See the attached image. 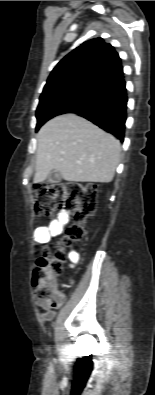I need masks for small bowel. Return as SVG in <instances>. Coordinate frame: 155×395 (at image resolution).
I'll return each instance as SVG.
<instances>
[{"instance_id":"small-bowel-1","label":"small bowel","mask_w":155,"mask_h":395,"mask_svg":"<svg viewBox=\"0 0 155 395\" xmlns=\"http://www.w3.org/2000/svg\"><path fill=\"white\" fill-rule=\"evenodd\" d=\"M68 220V214L66 212H60L48 225L38 227L34 232L33 246L39 248L52 238H59ZM35 252H38V249H35ZM69 258L72 263H76L79 259V255L76 251H71ZM45 309L47 310L43 314L44 319L52 320L55 316V312L48 308Z\"/></svg>"}]
</instances>
